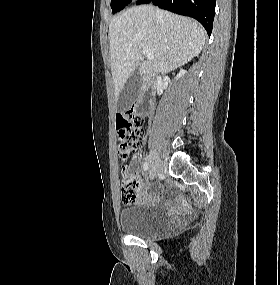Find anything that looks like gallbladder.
<instances>
[{"label":"gallbladder","mask_w":280,"mask_h":285,"mask_svg":"<svg viewBox=\"0 0 280 285\" xmlns=\"http://www.w3.org/2000/svg\"><path fill=\"white\" fill-rule=\"evenodd\" d=\"M142 84L143 79L138 73H134L128 78L117 99L118 112H124L135 103L140 94Z\"/></svg>","instance_id":"gallbladder-1"}]
</instances>
